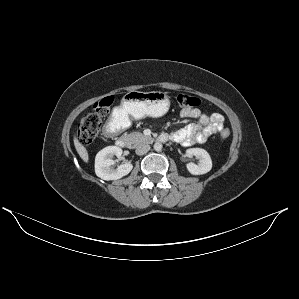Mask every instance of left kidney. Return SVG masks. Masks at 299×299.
<instances>
[{
  "instance_id": "5707ae66",
  "label": "left kidney",
  "mask_w": 299,
  "mask_h": 299,
  "mask_svg": "<svg viewBox=\"0 0 299 299\" xmlns=\"http://www.w3.org/2000/svg\"><path fill=\"white\" fill-rule=\"evenodd\" d=\"M186 153L189 156H195L198 160V164L188 163L186 165L187 170L193 175H202L209 172L212 168V160L209 153L202 148H190Z\"/></svg>"
}]
</instances>
